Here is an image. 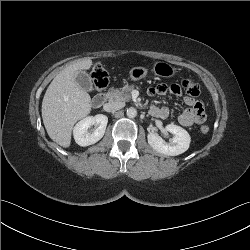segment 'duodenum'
Returning <instances> with one entry per match:
<instances>
[{
	"mask_svg": "<svg viewBox=\"0 0 250 250\" xmlns=\"http://www.w3.org/2000/svg\"><path fill=\"white\" fill-rule=\"evenodd\" d=\"M106 102V95L105 94H98L92 100V105L95 108L101 107Z\"/></svg>",
	"mask_w": 250,
	"mask_h": 250,
	"instance_id": "410a0bca",
	"label": "duodenum"
}]
</instances>
